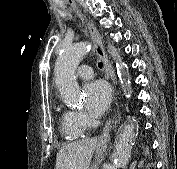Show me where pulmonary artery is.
<instances>
[{
  "label": "pulmonary artery",
  "mask_w": 177,
  "mask_h": 169,
  "mask_svg": "<svg viewBox=\"0 0 177 169\" xmlns=\"http://www.w3.org/2000/svg\"><path fill=\"white\" fill-rule=\"evenodd\" d=\"M77 77L80 80H88L92 77L93 75V70L90 66L88 65H82L78 68L77 70Z\"/></svg>",
  "instance_id": "e3ab8cb5"
}]
</instances>
